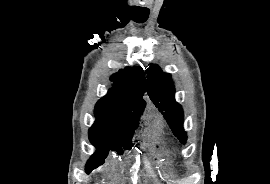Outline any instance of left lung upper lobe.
I'll list each match as a JSON object with an SVG mask.
<instances>
[{"label": "left lung upper lobe", "instance_id": "5c2ea615", "mask_svg": "<svg viewBox=\"0 0 270 184\" xmlns=\"http://www.w3.org/2000/svg\"><path fill=\"white\" fill-rule=\"evenodd\" d=\"M147 81L146 89L150 99L162 113L167 123L170 125L175 136L182 143L186 141V132L183 129V109L175 101V89L168 73L155 64H150L146 69Z\"/></svg>", "mask_w": 270, "mask_h": 184}]
</instances>
